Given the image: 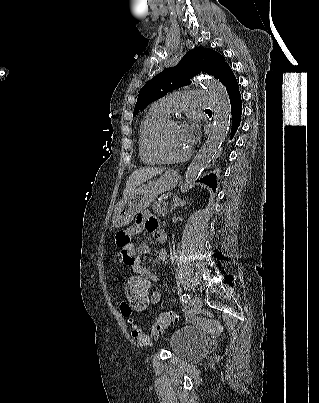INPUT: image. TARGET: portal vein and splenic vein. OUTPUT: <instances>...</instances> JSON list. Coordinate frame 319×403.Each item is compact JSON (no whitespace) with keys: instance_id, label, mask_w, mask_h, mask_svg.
Segmentation results:
<instances>
[{"instance_id":"18ae733b","label":"portal vein and splenic vein","mask_w":319,"mask_h":403,"mask_svg":"<svg viewBox=\"0 0 319 403\" xmlns=\"http://www.w3.org/2000/svg\"><path fill=\"white\" fill-rule=\"evenodd\" d=\"M163 205L168 206V202H167V201H165V202L163 203Z\"/></svg>"}]
</instances>
